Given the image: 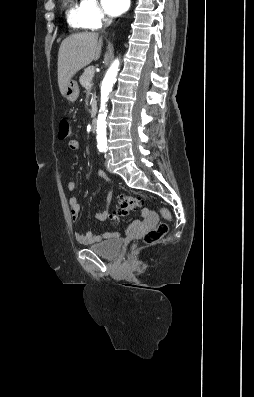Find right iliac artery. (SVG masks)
<instances>
[{
  "mask_svg": "<svg viewBox=\"0 0 254 397\" xmlns=\"http://www.w3.org/2000/svg\"><path fill=\"white\" fill-rule=\"evenodd\" d=\"M100 151H104V149H100Z\"/></svg>",
  "mask_w": 254,
  "mask_h": 397,
  "instance_id": "right-iliac-artery-1",
  "label": "right iliac artery"
}]
</instances>
